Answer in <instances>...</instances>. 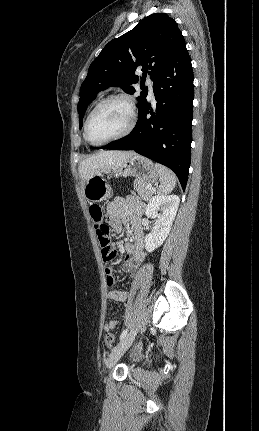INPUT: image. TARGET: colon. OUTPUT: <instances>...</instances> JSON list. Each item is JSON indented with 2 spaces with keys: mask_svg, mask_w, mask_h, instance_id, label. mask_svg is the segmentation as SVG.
<instances>
[{
  "mask_svg": "<svg viewBox=\"0 0 259 431\" xmlns=\"http://www.w3.org/2000/svg\"><path fill=\"white\" fill-rule=\"evenodd\" d=\"M89 213L93 220L96 234L101 245V252L104 261H112L116 257V251L113 249L109 226L104 221L102 207L98 204H93L89 207ZM105 342L108 347H112L115 342V335L112 332H107Z\"/></svg>",
  "mask_w": 259,
  "mask_h": 431,
  "instance_id": "colon-1",
  "label": "colon"
}]
</instances>
